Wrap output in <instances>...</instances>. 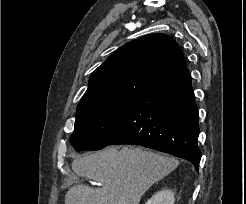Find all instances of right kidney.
Masks as SVG:
<instances>
[{
  "label": "right kidney",
  "mask_w": 246,
  "mask_h": 204,
  "mask_svg": "<svg viewBox=\"0 0 246 204\" xmlns=\"http://www.w3.org/2000/svg\"><path fill=\"white\" fill-rule=\"evenodd\" d=\"M174 193L170 190H162L153 195L145 204H174Z\"/></svg>",
  "instance_id": "ca27d5eb"
}]
</instances>
